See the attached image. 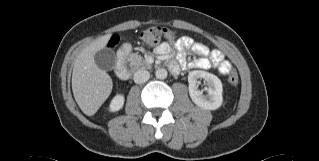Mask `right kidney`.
<instances>
[{
    "label": "right kidney",
    "mask_w": 319,
    "mask_h": 161,
    "mask_svg": "<svg viewBox=\"0 0 319 161\" xmlns=\"http://www.w3.org/2000/svg\"><path fill=\"white\" fill-rule=\"evenodd\" d=\"M124 96L122 94H117L110 103L109 109L111 112L119 111L124 105Z\"/></svg>",
    "instance_id": "ca27d5eb"
}]
</instances>
